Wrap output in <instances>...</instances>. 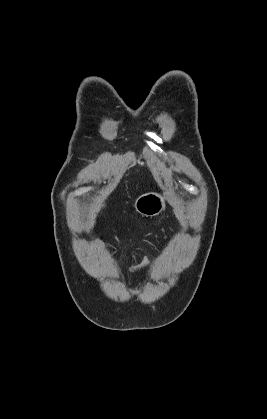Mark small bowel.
<instances>
[{
	"instance_id": "small-bowel-1",
	"label": "small bowel",
	"mask_w": 267,
	"mask_h": 419,
	"mask_svg": "<svg viewBox=\"0 0 267 419\" xmlns=\"http://www.w3.org/2000/svg\"><path fill=\"white\" fill-rule=\"evenodd\" d=\"M97 248H98V251L100 253L103 252V250H104V240L103 239L99 238L97 240ZM149 264H150L149 258L145 257L141 264L130 267L128 269V273L130 275H135V276L142 275L145 272L146 268L149 266Z\"/></svg>"
}]
</instances>
